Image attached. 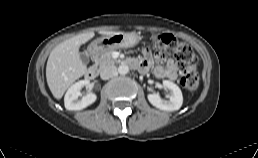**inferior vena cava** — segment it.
I'll return each instance as SVG.
<instances>
[{"mask_svg": "<svg viewBox=\"0 0 258 158\" xmlns=\"http://www.w3.org/2000/svg\"><path fill=\"white\" fill-rule=\"evenodd\" d=\"M117 74V68L115 66L104 67L100 73V77L103 80H107Z\"/></svg>", "mask_w": 258, "mask_h": 158, "instance_id": "602c4592", "label": "inferior vena cava"}]
</instances>
